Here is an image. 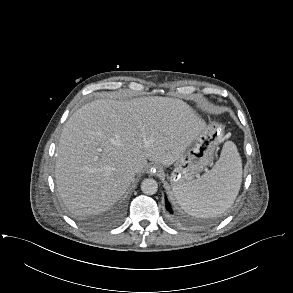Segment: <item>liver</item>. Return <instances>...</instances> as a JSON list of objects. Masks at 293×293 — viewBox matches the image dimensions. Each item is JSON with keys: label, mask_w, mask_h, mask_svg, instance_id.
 I'll list each match as a JSON object with an SVG mask.
<instances>
[{"label": "liver", "mask_w": 293, "mask_h": 293, "mask_svg": "<svg viewBox=\"0 0 293 293\" xmlns=\"http://www.w3.org/2000/svg\"><path fill=\"white\" fill-rule=\"evenodd\" d=\"M186 102L169 97L94 100L66 122L57 147L55 178L74 215L108 210L135 181L147 159L170 166L204 130Z\"/></svg>", "instance_id": "1"}]
</instances>
